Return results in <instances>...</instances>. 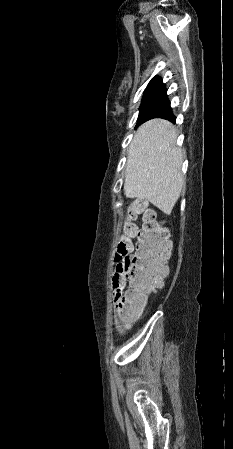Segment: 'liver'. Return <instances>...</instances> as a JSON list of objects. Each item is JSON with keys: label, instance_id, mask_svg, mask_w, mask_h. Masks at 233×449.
Segmentation results:
<instances>
[{"label": "liver", "instance_id": "liver-1", "mask_svg": "<svg viewBox=\"0 0 233 449\" xmlns=\"http://www.w3.org/2000/svg\"><path fill=\"white\" fill-rule=\"evenodd\" d=\"M176 138L169 121H147L130 144L125 172V195L148 200L167 215L185 187L181 172L184 153L176 146Z\"/></svg>", "mask_w": 233, "mask_h": 449}]
</instances>
